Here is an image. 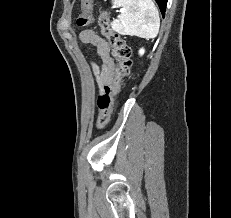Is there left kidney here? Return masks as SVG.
Here are the masks:
<instances>
[{
	"label": "left kidney",
	"instance_id": "5707ae66",
	"mask_svg": "<svg viewBox=\"0 0 231 218\" xmlns=\"http://www.w3.org/2000/svg\"><path fill=\"white\" fill-rule=\"evenodd\" d=\"M139 53H140V55H143V54H144V49H141V50L139 51Z\"/></svg>",
	"mask_w": 231,
	"mask_h": 218
}]
</instances>
